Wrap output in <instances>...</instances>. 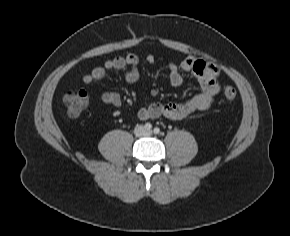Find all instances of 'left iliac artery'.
I'll list each match as a JSON object with an SVG mask.
<instances>
[{"label":"left iliac artery","mask_w":290,"mask_h":236,"mask_svg":"<svg viewBox=\"0 0 290 236\" xmlns=\"http://www.w3.org/2000/svg\"><path fill=\"white\" fill-rule=\"evenodd\" d=\"M153 132H154V134H159L160 133V129L158 127H155Z\"/></svg>","instance_id":"44dca946"}]
</instances>
